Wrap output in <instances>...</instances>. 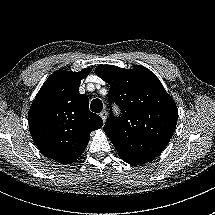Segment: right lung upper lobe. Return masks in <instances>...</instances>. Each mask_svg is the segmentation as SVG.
Listing matches in <instances>:
<instances>
[{"mask_svg":"<svg viewBox=\"0 0 215 215\" xmlns=\"http://www.w3.org/2000/svg\"><path fill=\"white\" fill-rule=\"evenodd\" d=\"M91 72L59 70L37 93L29 110L33 141L46 157L70 164L84 152L90 133L103 126L102 119L89 111V99L79 93L81 80Z\"/></svg>","mask_w":215,"mask_h":215,"instance_id":"cb5924a9","label":"right lung upper lobe"}]
</instances>
